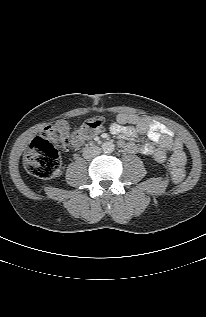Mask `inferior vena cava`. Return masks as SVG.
Instances as JSON below:
<instances>
[{"mask_svg":"<svg viewBox=\"0 0 206 317\" xmlns=\"http://www.w3.org/2000/svg\"><path fill=\"white\" fill-rule=\"evenodd\" d=\"M101 153V149L97 146H89L84 148L83 150V157L86 159H91L96 157Z\"/></svg>","mask_w":206,"mask_h":317,"instance_id":"1","label":"inferior vena cava"}]
</instances>
